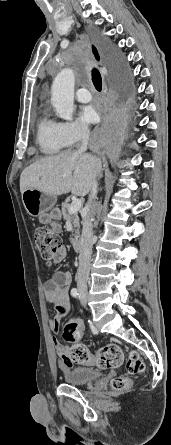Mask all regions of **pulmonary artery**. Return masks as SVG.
<instances>
[{"label": "pulmonary artery", "instance_id": "pulmonary-artery-1", "mask_svg": "<svg viewBox=\"0 0 171 445\" xmlns=\"http://www.w3.org/2000/svg\"><path fill=\"white\" fill-rule=\"evenodd\" d=\"M92 96L88 89L80 88L76 92V99L81 103H87L91 100Z\"/></svg>", "mask_w": 171, "mask_h": 445}]
</instances>
